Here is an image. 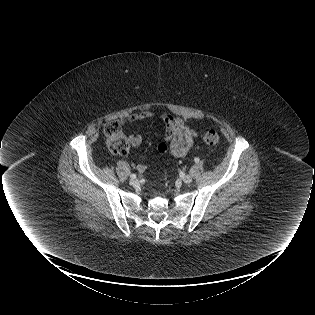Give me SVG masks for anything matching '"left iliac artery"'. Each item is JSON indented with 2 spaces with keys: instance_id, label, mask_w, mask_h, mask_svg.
Instances as JSON below:
<instances>
[{
  "instance_id": "left-iliac-artery-1",
  "label": "left iliac artery",
  "mask_w": 315,
  "mask_h": 315,
  "mask_svg": "<svg viewBox=\"0 0 315 315\" xmlns=\"http://www.w3.org/2000/svg\"><path fill=\"white\" fill-rule=\"evenodd\" d=\"M194 161H195V162H199V158L196 157V158L194 159Z\"/></svg>"
}]
</instances>
